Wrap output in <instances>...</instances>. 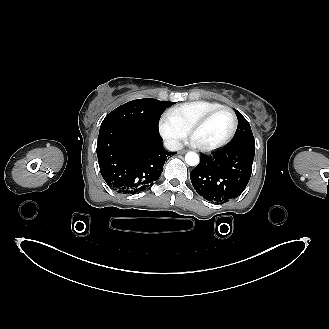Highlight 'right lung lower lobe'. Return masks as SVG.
Masks as SVG:
<instances>
[{
	"mask_svg": "<svg viewBox=\"0 0 329 329\" xmlns=\"http://www.w3.org/2000/svg\"><path fill=\"white\" fill-rule=\"evenodd\" d=\"M96 151L102 177L121 194L148 189L176 154L164 149L159 131L117 124L100 128Z\"/></svg>",
	"mask_w": 329,
	"mask_h": 329,
	"instance_id": "1",
	"label": "right lung lower lobe"
}]
</instances>
